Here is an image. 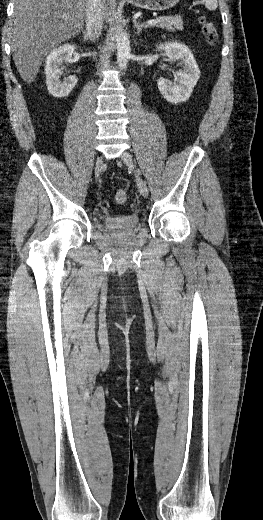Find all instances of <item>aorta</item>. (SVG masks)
<instances>
[{"label": "aorta", "instance_id": "aorta-1", "mask_svg": "<svg viewBox=\"0 0 263 520\" xmlns=\"http://www.w3.org/2000/svg\"><path fill=\"white\" fill-rule=\"evenodd\" d=\"M117 63L120 69H126L127 63L131 56L130 41L122 30L117 31L116 36Z\"/></svg>", "mask_w": 263, "mask_h": 520}]
</instances>
